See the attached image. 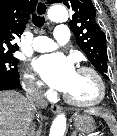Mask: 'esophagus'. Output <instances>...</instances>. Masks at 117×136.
I'll use <instances>...</instances> for the list:
<instances>
[{"mask_svg":"<svg viewBox=\"0 0 117 136\" xmlns=\"http://www.w3.org/2000/svg\"><path fill=\"white\" fill-rule=\"evenodd\" d=\"M47 10H48V7L46 2L43 0L38 1L37 7H36V13L41 16H47ZM50 109L53 113H59L61 111V107L56 104L51 105Z\"/></svg>","mask_w":117,"mask_h":136,"instance_id":"obj_1","label":"esophagus"}]
</instances>
